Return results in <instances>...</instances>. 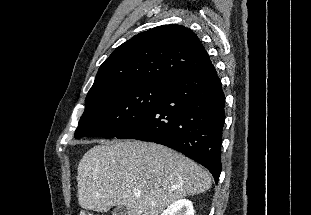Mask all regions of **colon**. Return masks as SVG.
<instances>
[{
  "label": "colon",
  "instance_id": "colon-1",
  "mask_svg": "<svg viewBox=\"0 0 311 215\" xmlns=\"http://www.w3.org/2000/svg\"><path fill=\"white\" fill-rule=\"evenodd\" d=\"M79 215H94V213L91 212V211L83 210V211L80 212Z\"/></svg>",
  "mask_w": 311,
  "mask_h": 215
}]
</instances>
